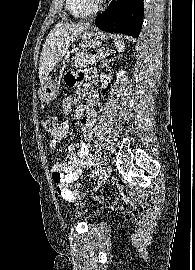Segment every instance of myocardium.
<instances>
[{"label":"myocardium","instance_id":"f54148a6","mask_svg":"<svg viewBox=\"0 0 195 270\" xmlns=\"http://www.w3.org/2000/svg\"><path fill=\"white\" fill-rule=\"evenodd\" d=\"M89 4H91L95 11L99 9L104 0H86Z\"/></svg>","mask_w":195,"mask_h":270}]
</instances>
